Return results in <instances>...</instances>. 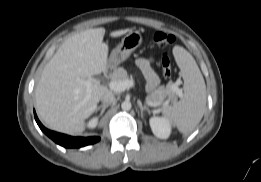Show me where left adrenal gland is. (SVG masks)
I'll return each mask as SVG.
<instances>
[{"instance_id":"1","label":"left adrenal gland","mask_w":261,"mask_h":182,"mask_svg":"<svg viewBox=\"0 0 261 182\" xmlns=\"http://www.w3.org/2000/svg\"><path fill=\"white\" fill-rule=\"evenodd\" d=\"M138 106L141 110V113H143L144 110H146L147 112H150V109L146 105H142V103L140 101H138Z\"/></svg>"}]
</instances>
